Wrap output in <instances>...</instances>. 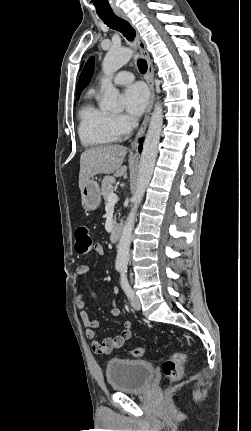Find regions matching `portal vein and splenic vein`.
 <instances>
[{
	"mask_svg": "<svg viewBox=\"0 0 251 431\" xmlns=\"http://www.w3.org/2000/svg\"><path fill=\"white\" fill-rule=\"evenodd\" d=\"M108 201H109V204H115L118 202V196L115 193H111L108 196Z\"/></svg>",
	"mask_w": 251,
	"mask_h": 431,
	"instance_id": "portal-vein-and-splenic-vein-1",
	"label": "portal vein and splenic vein"
}]
</instances>
